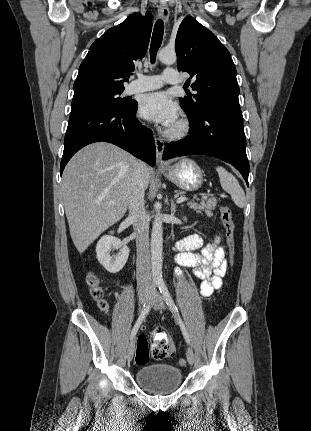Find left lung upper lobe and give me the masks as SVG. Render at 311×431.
I'll return each instance as SVG.
<instances>
[{"instance_id":"obj_1","label":"left lung upper lobe","mask_w":311,"mask_h":431,"mask_svg":"<svg viewBox=\"0 0 311 431\" xmlns=\"http://www.w3.org/2000/svg\"><path fill=\"white\" fill-rule=\"evenodd\" d=\"M175 50L179 71L188 72L197 94L180 99L189 118L224 103L239 104L236 68L229 51L218 38L194 18L180 24Z\"/></svg>"}]
</instances>
